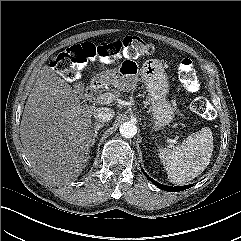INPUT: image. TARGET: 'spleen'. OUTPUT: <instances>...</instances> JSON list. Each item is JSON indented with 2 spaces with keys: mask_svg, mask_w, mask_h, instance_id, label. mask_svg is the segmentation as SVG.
Listing matches in <instances>:
<instances>
[{
  "mask_svg": "<svg viewBox=\"0 0 241 241\" xmlns=\"http://www.w3.org/2000/svg\"><path fill=\"white\" fill-rule=\"evenodd\" d=\"M210 128L189 135L180 147L162 148L159 157L173 184H184L200 175L210 163L213 152Z\"/></svg>",
  "mask_w": 241,
  "mask_h": 241,
  "instance_id": "3e777b00",
  "label": "spleen"
}]
</instances>
